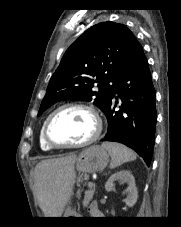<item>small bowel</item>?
Segmentation results:
<instances>
[{
	"label": "small bowel",
	"mask_w": 181,
	"mask_h": 227,
	"mask_svg": "<svg viewBox=\"0 0 181 227\" xmlns=\"http://www.w3.org/2000/svg\"><path fill=\"white\" fill-rule=\"evenodd\" d=\"M89 212L92 215H97L99 214L98 206L95 203H92L89 207Z\"/></svg>",
	"instance_id": "small-bowel-1"
}]
</instances>
